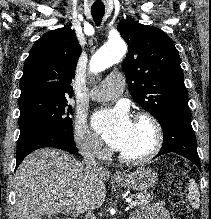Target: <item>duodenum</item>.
<instances>
[{"label":"duodenum","mask_w":211,"mask_h":219,"mask_svg":"<svg viewBox=\"0 0 211 219\" xmlns=\"http://www.w3.org/2000/svg\"><path fill=\"white\" fill-rule=\"evenodd\" d=\"M68 219H78V218H76V217H70V218H68Z\"/></svg>","instance_id":"obj_1"}]
</instances>
